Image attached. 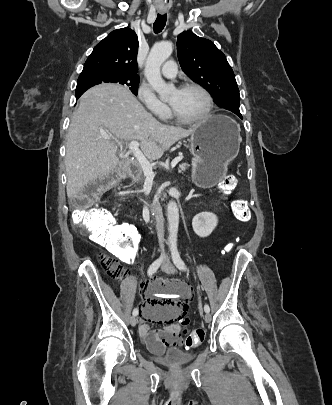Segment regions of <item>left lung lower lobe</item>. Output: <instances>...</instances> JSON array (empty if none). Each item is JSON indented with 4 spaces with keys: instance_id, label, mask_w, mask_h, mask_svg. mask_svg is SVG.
Returning a JSON list of instances; mask_svg holds the SVG:
<instances>
[{
    "instance_id": "obj_1",
    "label": "left lung lower lobe",
    "mask_w": 332,
    "mask_h": 405,
    "mask_svg": "<svg viewBox=\"0 0 332 405\" xmlns=\"http://www.w3.org/2000/svg\"><path fill=\"white\" fill-rule=\"evenodd\" d=\"M232 112L235 113L240 118H242V115H241V113L239 111V105H235Z\"/></svg>"
}]
</instances>
